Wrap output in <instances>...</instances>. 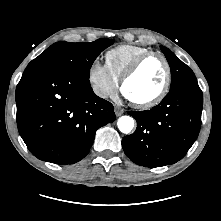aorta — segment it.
<instances>
[{
    "label": "aorta",
    "instance_id": "1",
    "mask_svg": "<svg viewBox=\"0 0 221 221\" xmlns=\"http://www.w3.org/2000/svg\"><path fill=\"white\" fill-rule=\"evenodd\" d=\"M117 126L122 133L128 134L134 127V119L130 116H122L118 119Z\"/></svg>",
    "mask_w": 221,
    "mask_h": 221
}]
</instances>
